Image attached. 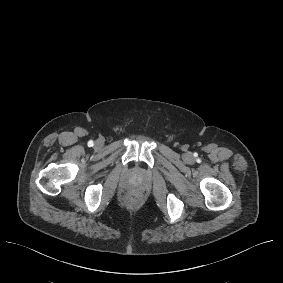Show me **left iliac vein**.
<instances>
[{"instance_id":"1","label":"left iliac vein","mask_w":283,"mask_h":283,"mask_svg":"<svg viewBox=\"0 0 283 283\" xmlns=\"http://www.w3.org/2000/svg\"><path fill=\"white\" fill-rule=\"evenodd\" d=\"M185 159H186L187 161H190V160H191V155H190V154H186V155H185Z\"/></svg>"}]
</instances>
